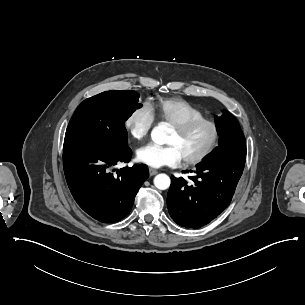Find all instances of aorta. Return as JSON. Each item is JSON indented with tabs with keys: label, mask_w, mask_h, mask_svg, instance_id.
<instances>
[{
	"label": "aorta",
	"mask_w": 305,
	"mask_h": 305,
	"mask_svg": "<svg viewBox=\"0 0 305 305\" xmlns=\"http://www.w3.org/2000/svg\"><path fill=\"white\" fill-rule=\"evenodd\" d=\"M167 126L164 123L155 126L151 132L152 140L157 144H164L167 138ZM170 178L166 174H158L154 178V185L159 190H166L170 187Z\"/></svg>",
	"instance_id": "762f6f07"
}]
</instances>
